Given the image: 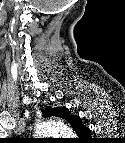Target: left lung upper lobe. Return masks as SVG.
I'll return each mask as SVG.
<instances>
[{"instance_id":"obj_1","label":"left lung upper lobe","mask_w":125,"mask_h":143,"mask_svg":"<svg viewBox=\"0 0 125 143\" xmlns=\"http://www.w3.org/2000/svg\"><path fill=\"white\" fill-rule=\"evenodd\" d=\"M67 110L68 109L64 108V107L63 108H56V109L48 107L47 110L42 111V113H43L44 117L57 116L60 118H64ZM72 126H73V129L78 136L82 135L83 133L85 134V131L88 129L81 123V121L75 125H72ZM88 131H90V130L88 129Z\"/></svg>"}]
</instances>
